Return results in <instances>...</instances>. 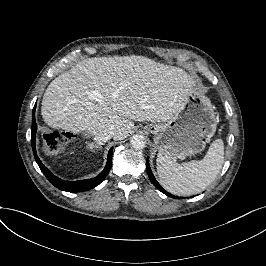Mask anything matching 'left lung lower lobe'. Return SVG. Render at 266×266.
I'll use <instances>...</instances> for the list:
<instances>
[{"mask_svg":"<svg viewBox=\"0 0 266 266\" xmlns=\"http://www.w3.org/2000/svg\"><path fill=\"white\" fill-rule=\"evenodd\" d=\"M146 169H147V173H148V176L151 180V182L153 183V185L158 189L160 190L161 192H163L164 194H166L167 196H170L172 198H178V197H175L174 195H171L170 193H168L167 191H165L160 185L159 183L157 182V180L155 179L154 175L152 174V171L150 169V166H149V159L147 158V162H146Z\"/></svg>","mask_w":266,"mask_h":266,"instance_id":"left-lung-lower-lobe-1","label":"left lung lower lobe"}]
</instances>
